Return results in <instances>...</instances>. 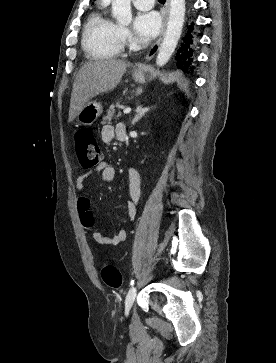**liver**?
<instances>
[{"instance_id": "1", "label": "liver", "mask_w": 276, "mask_h": 363, "mask_svg": "<svg viewBox=\"0 0 276 363\" xmlns=\"http://www.w3.org/2000/svg\"><path fill=\"white\" fill-rule=\"evenodd\" d=\"M128 66L129 63L116 59L85 63L73 83L68 121H73L93 97L114 89Z\"/></svg>"}]
</instances>
